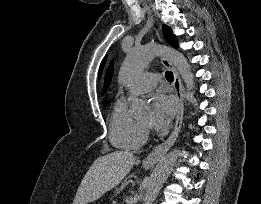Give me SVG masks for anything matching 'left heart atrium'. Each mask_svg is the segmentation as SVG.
Wrapping results in <instances>:
<instances>
[{
	"instance_id": "left-heart-atrium-1",
	"label": "left heart atrium",
	"mask_w": 261,
	"mask_h": 204,
	"mask_svg": "<svg viewBox=\"0 0 261 204\" xmlns=\"http://www.w3.org/2000/svg\"><path fill=\"white\" fill-rule=\"evenodd\" d=\"M175 104L172 98L164 94H156L152 102L150 123L159 131L166 130L173 118Z\"/></svg>"
}]
</instances>
